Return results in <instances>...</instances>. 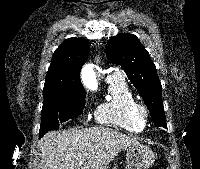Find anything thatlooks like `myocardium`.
<instances>
[{
  "mask_svg": "<svg viewBox=\"0 0 200 169\" xmlns=\"http://www.w3.org/2000/svg\"><path fill=\"white\" fill-rule=\"evenodd\" d=\"M135 116L142 124H144L148 119L149 112L145 106L137 104L135 107Z\"/></svg>",
  "mask_w": 200,
  "mask_h": 169,
  "instance_id": "f54148a6",
  "label": "myocardium"
}]
</instances>
